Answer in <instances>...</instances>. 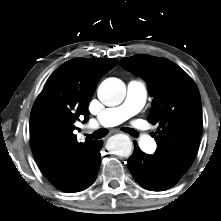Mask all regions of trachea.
<instances>
[{"instance_id":"3493384b","label":"trachea","mask_w":221,"mask_h":221,"mask_svg":"<svg viewBox=\"0 0 221 221\" xmlns=\"http://www.w3.org/2000/svg\"><path fill=\"white\" fill-rule=\"evenodd\" d=\"M122 130L124 132H127L128 134H130L132 137L138 136V133L132 128H123ZM107 134H108L107 129H99V130L93 132L92 134L87 135V137L92 138V139H100V138L105 137Z\"/></svg>"}]
</instances>
